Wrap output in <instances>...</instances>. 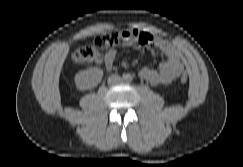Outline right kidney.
Segmentation results:
<instances>
[{
    "mask_svg": "<svg viewBox=\"0 0 243 167\" xmlns=\"http://www.w3.org/2000/svg\"><path fill=\"white\" fill-rule=\"evenodd\" d=\"M102 77L103 71L101 69L90 68L75 75V85L80 91L93 89L101 82Z\"/></svg>",
    "mask_w": 243,
    "mask_h": 167,
    "instance_id": "right-kidney-1",
    "label": "right kidney"
}]
</instances>
